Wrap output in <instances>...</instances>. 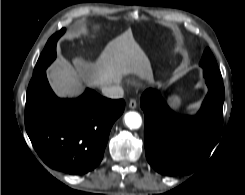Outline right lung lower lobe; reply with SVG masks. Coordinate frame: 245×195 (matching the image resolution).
Wrapping results in <instances>:
<instances>
[{
  "label": "right lung lower lobe",
  "mask_w": 245,
  "mask_h": 195,
  "mask_svg": "<svg viewBox=\"0 0 245 195\" xmlns=\"http://www.w3.org/2000/svg\"><path fill=\"white\" fill-rule=\"evenodd\" d=\"M125 101L87 89L77 99H60L45 71L33 75L27 90L25 127L40 158L52 169L79 175L102 160L111 127Z\"/></svg>",
  "instance_id": "98d812e1"
}]
</instances>
